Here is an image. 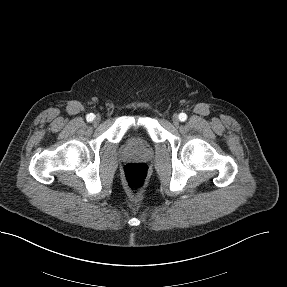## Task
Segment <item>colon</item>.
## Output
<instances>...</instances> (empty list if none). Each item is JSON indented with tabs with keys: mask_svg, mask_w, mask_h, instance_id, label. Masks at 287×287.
Wrapping results in <instances>:
<instances>
[{
	"mask_svg": "<svg viewBox=\"0 0 287 287\" xmlns=\"http://www.w3.org/2000/svg\"><path fill=\"white\" fill-rule=\"evenodd\" d=\"M124 183L133 196L139 195L149 178V167L145 163L131 162L123 166Z\"/></svg>",
	"mask_w": 287,
	"mask_h": 287,
	"instance_id": "obj_1",
	"label": "colon"
}]
</instances>
